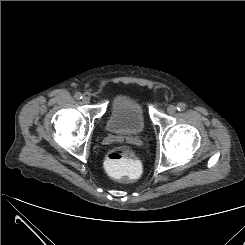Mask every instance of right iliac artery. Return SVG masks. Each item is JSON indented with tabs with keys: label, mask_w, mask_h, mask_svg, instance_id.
I'll return each mask as SVG.
<instances>
[{
	"label": "right iliac artery",
	"mask_w": 245,
	"mask_h": 245,
	"mask_svg": "<svg viewBox=\"0 0 245 245\" xmlns=\"http://www.w3.org/2000/svg\"><path fill=\"white\" fill-rule=\"evenodd\" d=\"M75 98H76L77 100H80V99L83 98V96H82V94H81L80 92H77V93H75Z\"/></svg>",
	"instance_id": "82829eb1"
}]
</instances>
